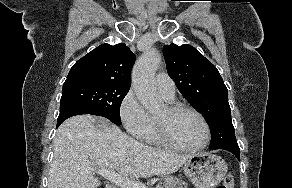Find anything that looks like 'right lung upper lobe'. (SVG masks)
Segmentation results:
<instances>
[{
    "label": "right lung upper lobe",
    "instance_id": "obj_1",
    "mask_svg": "<svg viewBox=\"0 0 292 188\" xmlns=\"http://www.w3.org/2000/svg\"><path fill=\"white\" fill-rule=\"evenodd\" d=\"M135 55L124 44H102L78 60L66 81L88 79L130 87V74Z\"/></svg>",
    "mask_w": 292,
    "mask_h": 188
}]
</instances>
